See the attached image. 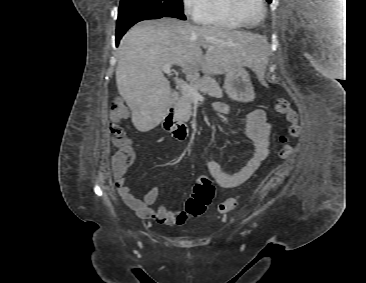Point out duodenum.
<instances>
[{"mask_svg":"<svg viewBox=\"0 0 366 283\" xmlns=\"http://www.w3.org/2000/svg\"><path fill=\"white\" fill-rule=\"evenodd\" d=\"M164 128L171 132L177 140H184L188 134L187 125L175 113L173 104L169 105L164 114Z\"/></svg>","mask_w":366,"mask_h":283,"instance_id":"410a0bca","label":"duodenum"}]
</instances>
